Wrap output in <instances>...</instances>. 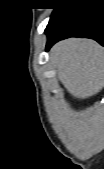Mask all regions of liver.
Masks as SVG:
<instances>
[{"label": "liver", "instance_id": "6515ba94", "mask_svg": "<svg viewBox=\"0 0 104 169\" xmlns=\"http://www.w3.org/2000/svg\"><path fill=\"white\" fill-rule=\"evenodd\" d=\"M58 78L75 98L96 95L104 84V51L90 39H66L51 50Z\"/></svg>", "mask_w": 104, "mask_h": 169}]
</instances>
